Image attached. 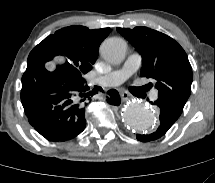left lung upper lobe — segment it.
Segmentation results:
<instances>
[{
  "instance_id": "5c2ea615",
  "label": "left lung upper lobe",
  "mask_w": 215,
  "mask_h": 183,
  "mask_svg": "<svg viewBox=\"0 0 215 183\" xmlns=\"http://www.w3.org/2000/svg\"><path fill=\"white\" fill-rule=\"evenodd\" d=\"M142 55L140 75L152 78L158 100L181 115L191 93L192 68L183 48L171 37L147 27L117 28Z\"/></svg>"
}]
</instances>
